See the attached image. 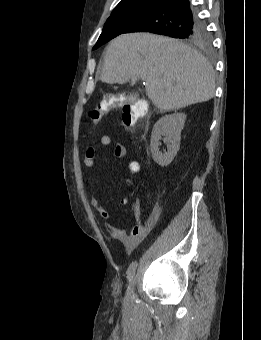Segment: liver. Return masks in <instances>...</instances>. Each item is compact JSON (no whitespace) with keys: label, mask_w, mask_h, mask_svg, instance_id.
Masks as SVG:
<instances>
[{"label":"liver","mask_w":261,"mask_h":340,"mask_svg":"<svg viewBox=\"0 0 261 340\" xmlns=\"http://www.w3.org/2000/svg\"><path fill=\"white\" fill-rule=\"evenodd\" d=\"M141 78L146 94L161 111L210 100L215 75L198 51L169 37L151 33L122 34L107 47L100 79L124 84Z\"/></svg>","instance_id":"liver-1"}]
</instances>
